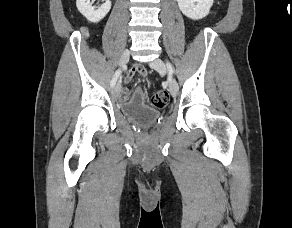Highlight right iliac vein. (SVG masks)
<instances>
[{"label": "right iliac vein", "instance_id": "1", "mask_svg": "<svg viewBox=\"0 0 292 228\" xmlns=\"http://www.w3.org/2000/svg\"><path fill=\"white\" fill-rule=\"evenodd\" d=\"M129 59H130V51L126 50V51H124V53L122 54V56L119 60L120 67L126 66ZM120 90H121V84H120V82H118L112 89V95L117 97L120 93Z\"/></svg>", "mask_w": 292, "mask_h": 228}]
</instances>
